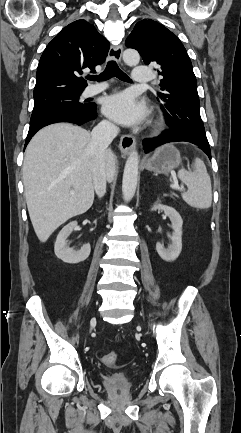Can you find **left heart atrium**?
Returning a JSON list of instances; mask_svg holds the SVG:
<instances>
[{
    "instance_id": "left-heart-atrium-1",
    "label": "left heart atrium",
    "mask_w": 241,
    "mask_h": 433,
    "mask_svg": "<svg viewBox=\"0 0 241 433\" xmlns=\"http://www.w3.org/2000/svg\"><path fill=\"white\" fill-rule=\"evenodd\" d=\"M103 110L109 118L123 125H135L145 117V108L128 92L107 97Z\"/></svg>"
}]
</instances>
